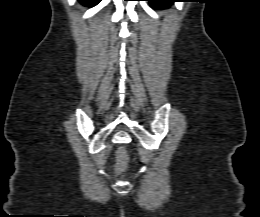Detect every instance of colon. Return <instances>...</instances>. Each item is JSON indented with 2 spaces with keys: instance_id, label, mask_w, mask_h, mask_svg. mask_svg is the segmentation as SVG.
<instances>
[{
  "instance_id": "obj_1",
  "label": "colon",
  "mask_w": 260,
  "mask_h": 217,
  "mask_svg": "<svg viewBox=\"0 0 260 217\" xmlns=\"http://www.w3.org/2000/svg\"><path fill=\"white\" fill-rule=\"evenodd\" d=\"M128 155L124 147H119L117 150V167L115 169V175L123 176L127 171Z\"/></svg>"
}]
</instances>
